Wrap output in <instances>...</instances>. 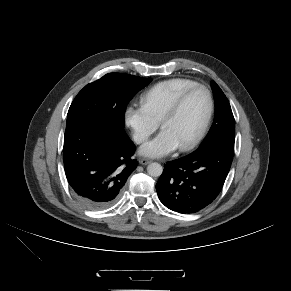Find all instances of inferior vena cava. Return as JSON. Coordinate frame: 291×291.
<instances>
[{"label": "inferior vena cava", "mask_w": 291, "mask_h": 291, "mask_svg": "<svg viewBox=\"0 0 291 291\" xmlns=\"http://www.w3.org/2000/svg\"><path fill=\"white\" fill-rule=\"evenodd\" d=\"M134 140L136 143H141L142 141H144V137L141 135H135Z\"/></svg>", "instance_id": "obj_1"}]
</instances>
